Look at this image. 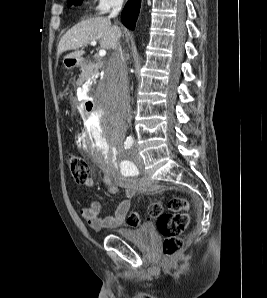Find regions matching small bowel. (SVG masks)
Listing matches in <instances>:
<instances>
[{"label": "small bowel", "mask_w": 267, "mask_h": 298, "mask_svg": "<svg viewBox=\"0 0 267 298\" xmlns=\"http://www.w3.org/2000/svg\"><path fill=\"white\" fill-rule=\"evenodd\" d=\"M104 183L108 186L109 195H115L119 193L120 189H124L127 198L122 200L117 206L115 212L109 216L100 215L101 204L98 201H92L88 206L80 209L79 212L82 219L95 231L122 227L130 209V198L134 196L137 188L142 185L132 179L110 173L104 175ZM93 185V178H89L85 187L90 188ZM151 188L152 187L150 186V189Z\"/></svg>", "instance_id": "c3829d8e"}]
</instances>
